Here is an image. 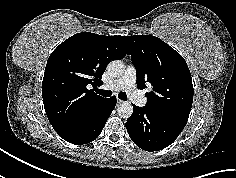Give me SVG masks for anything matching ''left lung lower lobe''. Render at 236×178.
Wrapping results in <instances>:
<instances>
[{"label":"left lung lower lobe","instance_id":"1","mask_svg":"<svg viewBox=\"0 0 236 178\" xmlns=\"http://www.w3.org/2000/svg\"><path fill=\"white\" fill-rule=\"evenodd\" d=\"M133 114L127 119L126 129L132 141L145 151H158L171 145L187 121L141 108L133 104Z\"/></svg>","mask_w":236,"mask_h":178}]
</instances>
